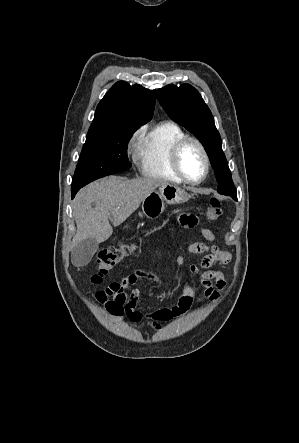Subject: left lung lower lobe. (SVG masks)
<instances>
[{"instance_id": "obj_1", "label": "left lung lower lobe", "mask_w": 299, "mask_h": 443, "mask_svg": "<svg viewBox=\"0 0 299 443\" xmlns=\"http://www.w3.org/2000/svg\"><path fill=\"white\" fill-rule=\"evenodd\" d=\"M232 198H233L234 200H237V196H233Z\"/></svg>"}]
</instances>
